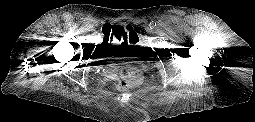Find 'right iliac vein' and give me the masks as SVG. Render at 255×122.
I'll return each mask as SVG.
<instances>
[{"mask_svg": "<svg viewBox=\"0 0 255 122\" xmlns=\"http://www.w3.org/2000/svg\"><path fill=\"white\" fill-rule=\"evenodd\" d=\"M90 32L95 34V30L94 29H90Z\"/></svg>", "mask_w": 255, "mask_h": 122, "instance_id": "obj_1", "label": "right iliac vein"}]
</instances>
